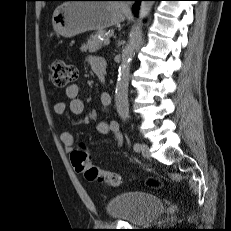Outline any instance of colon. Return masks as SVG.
<instances>
[{
	"instance_id": "1",
	"label": "colon",
	"mask_w": 231,
	"mask_h": 231,
	"mask_svg": "<svg viewBox=\"0 0 231 231\" xmlns=\"http://www.w3.org/2000/svg\"><path fill=\"white\" fill-rule=\"evenodd\" d=\"M51 76L53 84L58 88H67L78 77L77 68L64 61L56 60L51 64ZM71 161L78 172L84 174L88 181H97L113 187L121 184L122 178L119 174L105 171L91 163V156L85 147L75 149L71 154ZM152 185L155 184L151 180Z\"/></svg>"
}]
</instances>
